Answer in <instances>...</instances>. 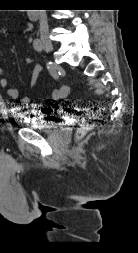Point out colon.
<instances>
[{
  "label": "colon",
  "instance_id": "1",
  "mask_svg": "<svg viewBox=\"0 0 138 253\" xmlns=\"http://www.w3.org/2000/svg\"><path fill=\"white\" fill-rule=\"evenodd\" d=\"M70 92V86L69 85H62L61 87L54 89L52 91V99L58 100L61 98L66 97ZM93 128V122L89 118H85L82 121L81 128L77 132V138H82L86 132L91 130Z\"/></svg>",
  "mask_w": 138,
  "mask_h": 253
}]
</instances>
